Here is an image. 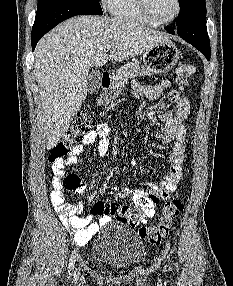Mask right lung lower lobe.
Returning <instances> with one entry per match:
<instances>
[{
  "instance_id": "1",
  "label": "right lung lower lobe",
  "mask_w": 233,
  "mask_h": 286,
  "mask_svg": "<svg viewBox=\"0 0 233 286\" xmlns=\"http://www.w3.org/2000/svg\"><path fill=\"white\" fill-rule=\"evenodd\" d=\"M76 15H96L88 9L69 2H58L36 15L32 28V50L34 51L39 39L60 22Z\"/></svg>"
}]
</instances>
